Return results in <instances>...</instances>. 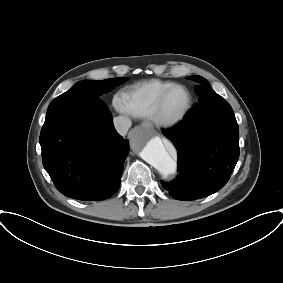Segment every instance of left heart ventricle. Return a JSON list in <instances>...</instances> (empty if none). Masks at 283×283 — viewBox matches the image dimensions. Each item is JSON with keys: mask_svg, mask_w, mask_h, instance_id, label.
Masks as SVG:
<instances>
[{"mask_svg": "<svg viewBox=\"0 0 283 283\" xmlns=\"http://www.w3.org/2000/svg\"><path fill=\"white\" fill-rule=\"evenodd\" d=\"M188 100L187 93L182 89L171 92L166 98L163 111L167 116L179 114L186 106Z\"/></svg>", "mask_w": 283, "mask_h": 283, "instance_id": "obj_1", "label": "left heart ventricle"}]
</instances>
